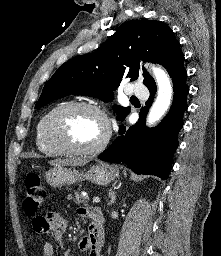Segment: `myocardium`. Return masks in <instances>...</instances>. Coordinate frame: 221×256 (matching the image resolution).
<instances>
[{
	"instance_id": "1",
	"label": "myocardium",
	"mask_w": 221,
	"mask_h": 256,
	"mask_svg": "<svg viewBox=\"0 0 221 256\" xmlns=\"http://www.w3.org/2000/svg\"><path fill=\"white\" fill-rule=\"evenodd\" d=\"M74 109H85L92 111L100 116L104 121L105 133L103 138L97 144L86 148L76 147L74 145H71L67 140H65L62 136L58 135L55 131V126L59 117L63 113ZM110 134V122L105 111L98 105L84 101H71L55 107L45 118L43 126V136L45 141L51 146H54L61 150L63 154L68 155L88 156L97 154L107 146L110 139Z\"/></svg>"
}]
</instances>
